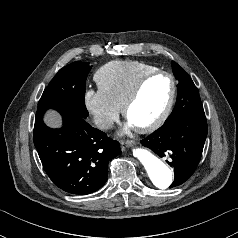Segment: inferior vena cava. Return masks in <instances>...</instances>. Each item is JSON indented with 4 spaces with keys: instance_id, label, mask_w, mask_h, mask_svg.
<instances>
[{
    "instance_id": "inferior-vena-cava-1",
    "label": "inferior vena cava",
    "mask_w": 238,
    "mask_h": 238,
    "mask_svg": "<svg viewBox=\"0 0 238 238\" xmlns=\"http://www.w3.org/2000/svg\"><path fill=\"white\" fill-rule=\"evenodd\" d=\"M95 124L100 129H110L113 127L114 122L107 117L98 116L95 118Z\"/></svg>"
}]
</instances>
